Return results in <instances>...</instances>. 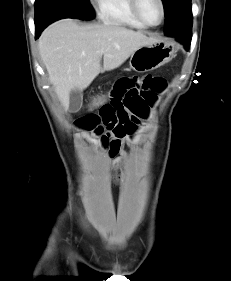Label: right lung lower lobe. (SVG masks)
Here are the masks:
<instances>
[{
  "label": "right lung lower lobe",
  "instance_id": "obj_1",
  "mask_svg": "<svg viewBox=\"0 0 231 281\" xmlns=\"http://www.w3.org/2000/svg\"><path fill=\"white\" fill-rule=\"evenodd\" d=\"M70 17V13L62 8L52 7L48 9L45 13H43L39 18H35V34L36 38L39 37L40 33L43 31L45 27H47L50 23L62 19Z\"/></svg>",
  "mask_w": 231,
  "mask_h": 281
}]
</instances>
